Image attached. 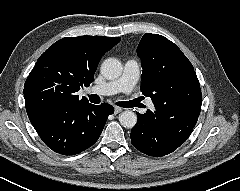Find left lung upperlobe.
Returning a JSON list of instances; mask_svg holds the SVG:
<instances>
[{
    "mask_svg": "<svg viewBox=\"0 0 240 191\" xmlns=\"http://www.w3.org/2000/svg\"><path fill=\"white\" fill-rule=\"evenodd\" d=\"M137 55L142 64V93L150 97L155 112L171 113L184 105L201 109L200 84L183 52L158 34L143 35Z\"/></svg>",
    "mask_w": 240,
    "mask_h": 191,
    "instance_id": "5c2ea615",
    "label": "left lung upper lobe"
}]
</instances>
